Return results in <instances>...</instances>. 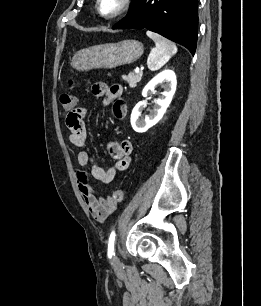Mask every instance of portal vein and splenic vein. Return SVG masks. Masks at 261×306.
<instances>
[{
	"instance_id": "portal-vein-and-splenic-vein-1",
	"label": "portal vein and splenic vein",
	"mask_w": 261,
	"mask_h": 306,
	"mask_svg": "<svg viewBox=\"0 0 261 306\" xmlns=\"http://www.w3.org/2000/svg\"><path fill=\"white\" fill-rule=\"evenodd\" d=\"M140 71H141V70H140L139 68H136V69H135V72H136V73H139Z\"/></svg>"
}]
</instances>
